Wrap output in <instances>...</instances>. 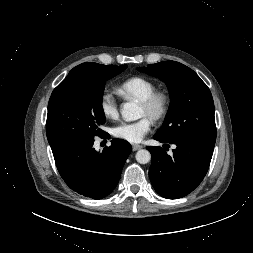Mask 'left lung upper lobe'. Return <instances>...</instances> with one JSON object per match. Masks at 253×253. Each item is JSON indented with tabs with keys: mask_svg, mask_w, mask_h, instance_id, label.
<instances>
[{
	"mask_svg": "<svg viewBox=\"0 0 253 253\" xmlns=\"http://www.w3.org/2000/svg\"><path fill=\"white\" fill-rule=\"evenodd\" d=\"M137 70L161 79L170 92V108L156 136L166 141L195 138L215 144L213 98L192 69L176 61H162Z\"/></svg>",
	"mask_w": 253,
	"mask_h": 253,
	"instance_id": "5c2ea615",
	"label": "left lung upper lobe"
}]
</instances>
